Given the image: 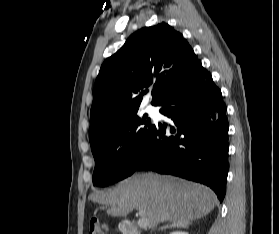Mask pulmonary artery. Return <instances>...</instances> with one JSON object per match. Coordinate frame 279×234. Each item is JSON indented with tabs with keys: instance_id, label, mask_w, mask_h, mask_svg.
Listing matches in <instances>:
<instances>
[{
	"instance_id": "e3ab8cb5",
	"label": "pulmonary artery",
	"mask_w": 279,
	"mask_h": 234,
	"mask_svg": "<svg viewBox=\"0 0 279 234\" xmlns=\"http://www.w3.org/2000/svg\"><path fill=\"white\" fill-rule=\"evenodd\" d=\"M148 111H149L150 113H152V112H153V108L148 107Z\"/></svg>"
}]
</instances>
